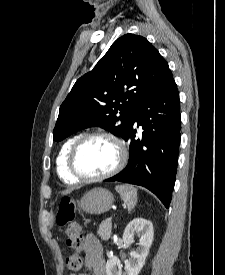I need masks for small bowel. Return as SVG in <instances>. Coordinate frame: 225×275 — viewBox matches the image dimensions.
<instances>
[{
    "label": "small bowel",
    "mask_w": 225,
    "mask_h": 275,
    "mask_svg": "<svg viewBox=\"0 0 225 275\" xmlns=\"http://www.w3.org/2000/svg\"><path fill=\"white\" fill-rule=\"evenodd\" d=\"M82 250L85 254V266L88 269L87 273L79 275H106L105 259L100 241L92 234H87L84 237ZM69 275H77L70 273Z\"/></svg>",
    "instance_id": "obj_1"
}]
</instances>
